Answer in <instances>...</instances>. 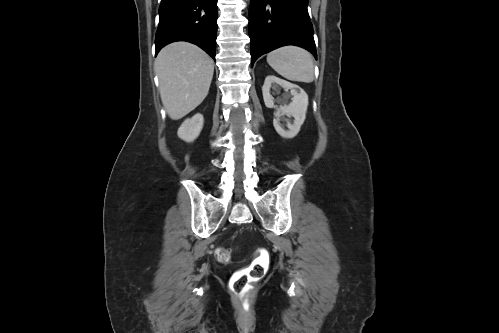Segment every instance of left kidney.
I'll use <instances>...</instances> for the list:
<instances>
[{
    "instance_id": "1",
    "label": "left kidney",
    "mask_w": 499,
    "mask_h": 333,
    "mask_svg": "<svg viewBox=\"0 0 499 333\" xmlns=\"http://www.w3.org/2000/svg\"><path fill=\"white\" fill-rule=\"evenodd\" d=\"M274 84L280 85L285 90H290L291 95L293 96L291 103L288 105H280L279 107L275 106L274 98L270 94V88ZM262 93L266 107L276 108L273 120L276 132L284 138L295 137L299 133L306 118L308 107V95L306 92L298 85L280 79L274 75H269L265 78ZM284 116L293 117V122L286 119L285 124L280 123Z\"/></svg>"
}]
</instances>
